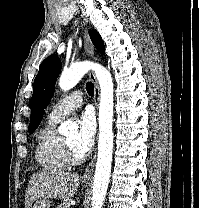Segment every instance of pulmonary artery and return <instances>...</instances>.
Wrapping results in <instances>:
<instances>
[{
  "label": "pulmonary artery",
  "mask_w": 199,
  "mask_h": 208,
  "mask_svg": "<svg viewBox=\"0 0 199 208\" xmlns=\"http://www.w3.org/2000/svg\"><path fill=\"white\" fill-rule=\"evenodd\" d=\"M83 99L84 94L79 90H75L58 101L53 106L49 116L52 118L63 119L72 111L81 107L83 104Z\"/></svg>",
  "instance_id": "e3ab8cb5"
}]
</instances>
